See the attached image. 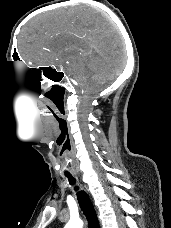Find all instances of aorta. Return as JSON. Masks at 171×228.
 I'll return each mask as SVG.
<instances>
[{
  "instance_id": "762f6f07",
  "label": "aorta",
  "mask_w": 171,
  "mask_h": 228,
  "mask_svg": "<svg viewBox=\"0 0 171 228\" xmlns=\"http://www.w3.org/2000/svg\"><path fill=\"white\" fill-rule=\"evenodd\" d=\"M64 228H83V222L80 219H70Z\"/></svg>"
}]
</instances>
